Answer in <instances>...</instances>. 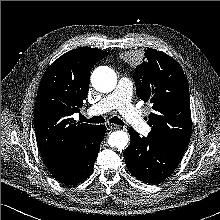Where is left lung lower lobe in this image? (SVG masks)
Returning <instances> with one entry per match:
<instances>
[{"label": "left lung lower lobe", "mask_w": 220, "mask_h": 220, "mask_svg": "<svg viewBox=\"0 0 220 220\" xmlns=\"http://www.w3.org/2000/svg\"><path fill=\"white\" fill-rule=\"evenodd\" d=\"M131 142L124 152L129 172L138 180L159 183L169 177L179 164L186 147L150 134L140 137L129 128Z\"/></svg>", "instance_id": "1"}]
</instances>
